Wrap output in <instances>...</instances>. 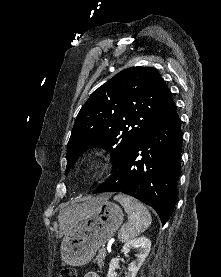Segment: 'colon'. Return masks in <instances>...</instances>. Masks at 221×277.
<instances>
[{"label": "colon", "mask_w": 221, "mask_h": 277, "mask_svg": "<svg viewBox=\"0 0 221 277\" xmlns=\"http://www.w3.org/2000/svg\"><path fill=\"white\" fill-rule=\"evenodd\" d=\"M60 277H77V274L73 269L67 268L61 271Z\"/></svg>", "instance_id": "1"}]
</instances>
